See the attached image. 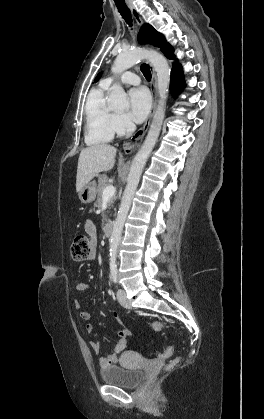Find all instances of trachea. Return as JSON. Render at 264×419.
<instances>
[{
    "instance_id": "1",
    "label": "trachea",
    "mask_w": 264,
    "mask_h": 419,
    "mask_svg": "<svg viewBox=\"0 0 264 419\" xmlns=\"http://www.w3.org/2000/svg\"><path fill=\"white\" fill-rule=\"evenodd\" d=\"M116 6H117V9H118L119 13L123 17V19L131 27L132 26V17H131V12H130L129 8L127 7V5L116 3ZM141 71H142L143 75L145 76V78L148 81H150L151 80V72H150L149 66L147 64H142L141 65Z\"/></svg>"
}]
</instances>
